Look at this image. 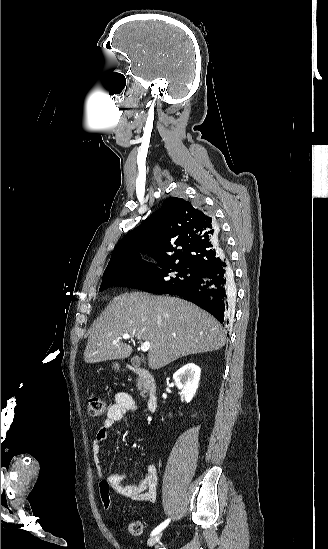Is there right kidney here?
<instances>
[{"label": "right kidney", "instance_id": "right-kidney-1", "mask_svg": "<svg viewBox=\"0 0 328 549\" xmlns=\"http://www.w3.org/2000/svg\"><path fill=\"white\" fill-rule=\"evenodd\" d=\"M200 373V367H197L194 363H187L173 375V379L178 389H181L186 403H190L198 389Z\"/></svg>", "mask_w": 328, "mask_h": 549}]
</instances>
